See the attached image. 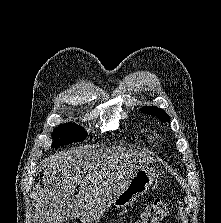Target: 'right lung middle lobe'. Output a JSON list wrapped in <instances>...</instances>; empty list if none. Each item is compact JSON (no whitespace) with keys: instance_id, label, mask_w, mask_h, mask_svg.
Listing matches in <instances>:
<instances>
[{"instance_id":"dd1d6c3e","label":"right lung middle lobe","mask_w":221,"mask_h":223,"mask_svg":"<svg viewBox=\"0 0 221 223\" xmlns=\"http://www.w3.org/2000/svg\"><path fill=\"white\" fill-rule=\"evenodd\" d=\"M86 135L87 133L79 125L73 123L61 124L53 131L54 142L52 148L72 142H80L86 138Z\"/></svg>"}]
</instances>
